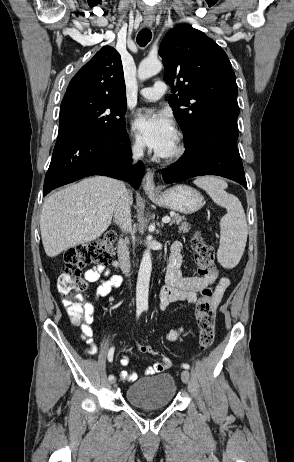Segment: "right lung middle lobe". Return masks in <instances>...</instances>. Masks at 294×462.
<instances>
[{
	"label": "right lung middle lobe",
	"mask_w": 294,
	"mask_h": 462,
	"mask_svg": "<svg viewBox=\"0 0 294 462\" xmlns=\"http://www.w3.org/2000/svg\"><path fill=\"white\" fill-rule=\"evenodd\" d=\"M126 99L78 96L62 100L58 139L125 128Z\"/></svg>",
	"instance_id": "1"
}]
</instances>
